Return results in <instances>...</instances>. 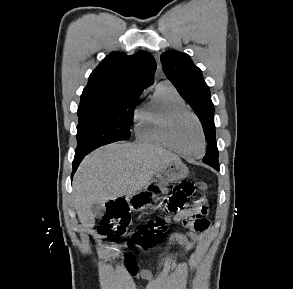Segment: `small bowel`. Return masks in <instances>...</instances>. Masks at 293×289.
<instances>
[{
    "instance_id": "small-bowel-1",
    "label": "small bowel",
    "mask_w": 293,
    "mask_h": 289,
    "mask_svg": "<svg viewBox=\"0 0 293 289\" xmlns=\"http://www.w3.org/2000/svg\"><path fill=\"white\" fill-rule=\"evenodd\" d=\"M206 199L204 197H199L197 200V205L190 209H185L179 211L175 217V222H181L185 221L187 219H193L198 221L201 225H204L202 229L189 231V232H179V231H173L170 233L169 238L167 240L166 246L164 248V251L161 252L158 257L162 258L164 257L167 252L170 249V246L172 243L177 242L181 246H183L187 250L193 249L194 245L202 240V236L200 233L205 232L209 227V220L207 218H202L198 216V209L201 204H204ZM189 228V227H188ZM154 268L152 266H149L146 269L141 270L140 276L147 281L146 289H165L166 284V277L160 276L155 277L154 276Z\"/></svg>"
}]
</instances>
